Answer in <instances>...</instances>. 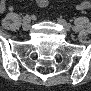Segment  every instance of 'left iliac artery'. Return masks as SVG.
I'll return each mask as SVG.
<instances>
[{"mask_svg":"<svg viewBox=\"0 0 91 91\" xmlns=\"http://www.w3.org/2000/svg\"><path fill=\"white\" fill-rule=\"evenodd\" d=\"M68 27H69V28H73V27H74V24H73V23H69V24H68Z\"/></svg>","mask_w":91,"mask_h":91,"instance_id":"left-iliac-artery-1","label":"left iliac artery"}]
</instances>
